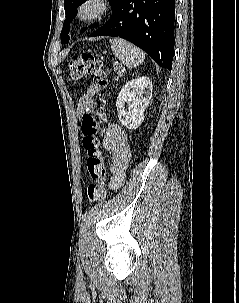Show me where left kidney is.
<instances>
[{"mask_svg": "<svg viewBox=\"0 0 239 303\" xmlns=\"http://www.w3.org/2000/svg\"><path fill=\"white\" fill-rule=\"evenodd\" d=\"M152 97V82L138 77L126 83L118 94L116 107L119 121L127 129H137L144 120V112ZM128 104V109H125Z\"/></svg>", "mask_w": 239, "mask_h": 303, "instance_id": "5707ae66", "label": "left kidney"}]
</instances>
